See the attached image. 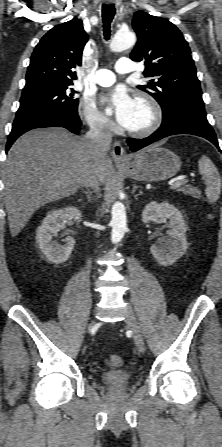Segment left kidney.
<instances>
[{"instance_id": "5707ae66", "label": "left kidney", "mask_w": 222, "mask_h": 447, "mask_svg": "<svg viewBox=\"0 0 222 447\" xmlns=\"http://www.w3.org/2000/svg\"><path fill=\"white\" fill-rule=\"evenodd\" d=\"M168 219L170 239H161L150 247V252L156 261L162 266L175 263L187 250L186 240L187 225L183 220L181 212L168 202L158 203L155 201L147 204L142 212V221L150 223Z\"/></svg>"}]
</instances>
